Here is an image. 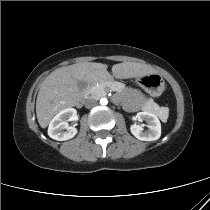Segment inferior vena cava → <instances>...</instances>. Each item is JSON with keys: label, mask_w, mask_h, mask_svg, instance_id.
Here are the masks:
<instances>
[{"label": "inferior vena cava", "mask_w": 210, "mask_h": 210, "mask_svg": "<svg viewBox=\"0 0 210 210\" xmlns=\"http://www.w3.org/2000/svg\"><path fill=\"white\" fill-rule=\"evenodd\" d=\"M96 105H97V100L94 98H90L85 101V107L88 109H90Z\"/></svg>", "instance_id": "1"}]
</instances>
